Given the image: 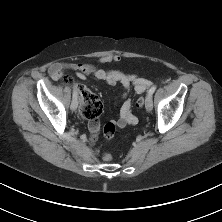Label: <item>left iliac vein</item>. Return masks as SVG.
I'll return each mask as SVG.
<instances>
[{"label":"left iliac vein","instance_id":"1","mask_svg":"<svg viewBox=\"0 0 222 222\" xmlns=\"http://www.w3.org/2000/svg\"><path fill=\"white\" fill-rule=\"evenodd\" d=\"M145 107L148 112H150L153 108L152 95L149 93L147 94L145 99Z\"/></svg>","mask_w":222,"mask_h":222}]
</instances>
